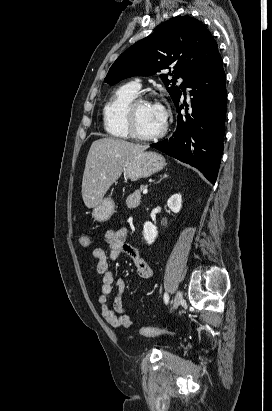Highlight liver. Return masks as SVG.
I'll list each match as a JSON object with an SVG mask.
<instances>
[{"label":"liver","instance_id":"obj_1","mask_svg":"<svg viewBox=\"0 0 272 411\" xmlns=\"http://www.w3.org/2000/svg\"><path fill=\"white\" fill-rule=\"evenodd\" d=\"M147 148L114 138L94 141L87 155L82 180V198L86 207L97 206L121 176L124 165Z\"/></svg>","mask_w":272,"mask_h":411}]
</instances>
